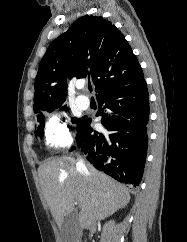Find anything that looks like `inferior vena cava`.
Instances as JSON below:
<instances>
[{
  "mask_svg": "<svg viewBox=\"0 0 187 242\" xmlns=\"http://www.w3.org/2000/svg\"><path fill=\"white\" fill-rule=\"evenodd\" d=\"M76 165H77V169L79 170V172L82 175H84V176H89L90 175L86 165L83 163L82 160L78 161Z\"/></svg>",
  "mask_w": 187,
  "mask_h": 242,
  "instance_id": "1",
  "label": "inferior vena cava"
}]
</instances>
